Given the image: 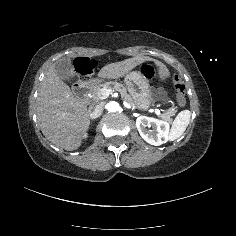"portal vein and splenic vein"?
<instances>
[{
    "label": "portal vein and splenic vein",
    "instance_id": "18ae733b",
    "mask_svg": "<svg viewBox=\"0 0 236 236\" xmlns=\"http://www.w3.org/2000/svg\"><path fill=\"white\" fill-rule=\"evenodd\" d=\"M112 92V89H102L101 91V95L103 98H106L110 95V93ZM123 105H124V108L125 109H130V110H133L134 109V106L133 105H129L126 101L123 102ZM155 113L157 115H160V111L159 109H155Z\"/></svg>",
    "mask_w": 236,
    "mask_h": 236
}]
</instances>
